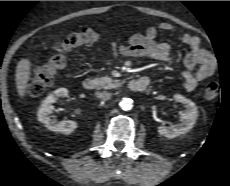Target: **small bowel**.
<instances>
[{"label":"small bowel","instance_id":"1","mask_svg":"<svg viewBox=\"0 0 230 186\" xmlns=\"http://www.w3.org/2000/svg\"><path fill=\"white\" fill-rule=\"evenodd\" d=\"M175 31V27L167 22L150 26L144 34L131 35L126 44L111 41L112 53L114 56L148 57L157 61L170 62V45L159 42L157 39L162 32ZM179 41L189 48L184 58L181 76L185 89L193 91L199 83L215 73L217 62L214 56L200 45L197 36L183 33L179 35Z\"/></svg>","mask_w":230,"mask_h":186}]
</instances>
